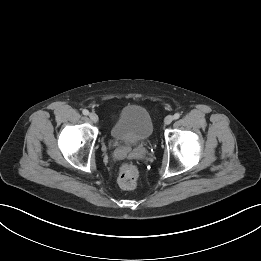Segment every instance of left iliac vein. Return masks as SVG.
<instances>
[{
	"label": "left iliac vein",
	"mask_w": 261,
	"mask_h": 261,
	"mask_svg": "<svg viewBox=\"0 0 261 261\" xmlns=\"http://www.w3.org/2000/svg\"><path fill=\"white\" fill-rule=\"evenodd\" d=\"M173 116H171V115H168L167 117H165V119H164V123L166 124V125H168V124H170L172 121H173Z\"/></svg>",
	"instance_id": "1"
}]
</instances>
